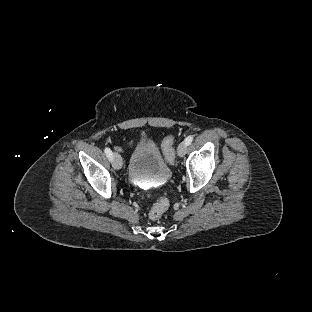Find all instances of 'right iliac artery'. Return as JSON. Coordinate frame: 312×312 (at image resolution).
Returning <instances> with one entry per match:
<instances>
[{
  "label": "right iliac artery",
  "instance_id": "right-iliac-artery-1",
  "mask_svg": "<svg viewBox=\"0 0 312 312\" xmlns=\"http://www.w3.org/2000/svg\"><path fill=\"white\" fill-rule=\"evenodd\" d=\"M104 151H105V154H106V156L108 157V159H109V160H112L113 153H112L111 149L108 148V147H106V148L104 149Z\"/></svg>",
  "mask_w": 312,
  "mask_h": 312
}]
</instances>
